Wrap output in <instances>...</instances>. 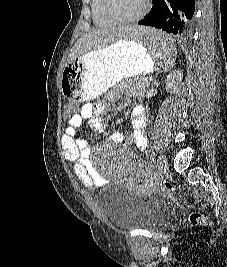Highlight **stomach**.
I'll return each mask as SVG.
<instances>
[{"instance_id": "obj_1", "label": "stomach", "mask_w": 227, "mask_h": 267, "mask_svg": "<svg viewBox=\"0 0 227 267\" xmlns=\"http://www.w3.org/2000/svg\"><path fill=\"white\" fill-rule=\"evenodd\" d=\"M156 68L157 63H153L147 47L121 39L66 64L58 87L66 101L79 104V101L97 98L120 81L150 73Z\"/></svg>"}]
</instances>
